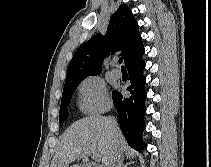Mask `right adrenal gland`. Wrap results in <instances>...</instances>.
<instances>
[{
    "mask_svg": "<svg viewBox=\"0 0 211 167\" xmlns=\"http://www.w3.org/2000/svg\"><path fill=\"white\" fill-rule=\"evenodd\" d=\"M128 165H130V163H128ZM124 167H127V164Z\"/></svg>",
    "mask_w": 211,
    "mask_h": 167,
    "instance_id": "2a0ac1e0",
    "label": "right adrenal gland"
}]
</instances>
